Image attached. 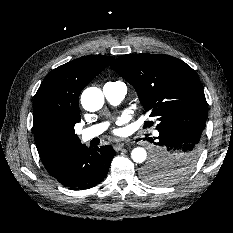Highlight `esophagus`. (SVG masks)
<instances>
[{
    "mask_svg": "<svg viewBox=\"0 0 233 233\" xmlns=\"http://www.w3.org/2000/svg\"><path fill=\"white\" fill-rule=\"evenodd\" d=\"M126 144V142H123V141H118V142H116L115 144H114V149L116 150V151H119V150H121L123 147H124V145Z\"/></svg>",
    "mask_w": 233,
    "mask_h": 233,
    "instance_id": "obj_1",
    "label": "esophagus"
}]
</instances>
